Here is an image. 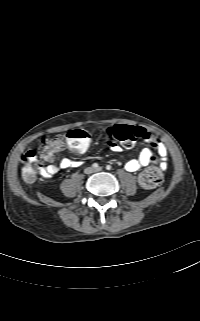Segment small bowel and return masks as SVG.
I'll return each instance as SVG.
<instances>
[{"label": "small bowel", "instance_id": "small-bowel-1", "mask_svg": "<svg viewBox=\"0 0 200 321\" xmlns=\"http://www.w3.org/2000/svg\"><path fill=\"white\" fill-rule=\"evenodd\" d=\"M136 128L139 129L141 132L140 138H143L147 143L150 144L151 147L143 148L140 151L137 158L131 159L125 164V169L129 172H136L140 168L145 167L148 164H150V162L153 159V157H152L153 150H155L161 158L160 167L162 169H165L167 167V148L165 147V145L162 142L158 141L156 139V136L153 133H151L150 131H148L142 127H136ZM64 148H65V145L62 144L56 153L62 151ZM109 148L114 152L121 151V146L113 141L109 142ZM54 156L49 158L47 160L48 161L47 166L43 167L40 170V175L42 177L50 178L53 175H55L60 169H68V168L76 166V162L72 161L69 158H63L59 162V164H55L54 163Z\"/></svg>", "mask_w": 200, "mask_h": 321}]
</instances>
